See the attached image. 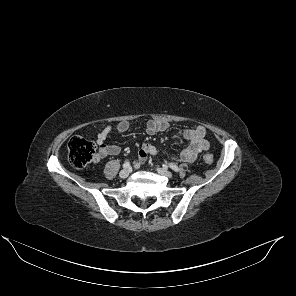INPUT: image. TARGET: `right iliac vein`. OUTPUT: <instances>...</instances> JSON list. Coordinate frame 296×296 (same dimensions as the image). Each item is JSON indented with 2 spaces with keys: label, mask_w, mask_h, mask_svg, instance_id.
Instances as JSON below:
<instances>
[{
  "label": "right iliac vein",
  "mask_w": 296,
  "mask_h": 296,
  "mask_svg": "<svg viewBox=\"0 0 296 296\" xmlns=\"http://www.w3.org/2000/svg\"><path fill=\"white\" fill-rule=\"evenodd\" d=\"M128 175H129V171H128L127 169H123V170H121L120 173H119V176H120L121 178H127Z\"/></svg>",
  "instance_id": "1"
}]
</instances>
